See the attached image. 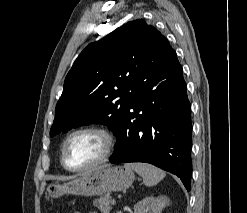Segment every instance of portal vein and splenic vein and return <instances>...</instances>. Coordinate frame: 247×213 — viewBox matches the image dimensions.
<instances>
[{"instance_id":"18ae733b","label":"portal vein and splenic vein","mask_w":247,"mask_h":213,"mask_svg":"<svg viewBox=\"0 0 247 213\" xmlns=\"http://www.w3.org/2000/svg\"><path fill=\"white\" fill-rule=\"evenodd\" d=\"M111 203L114 205L116 203L115 199H112Z\"/></svg>"}]
</instances>
